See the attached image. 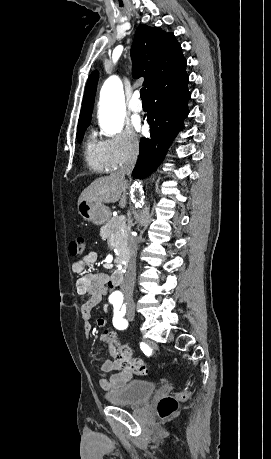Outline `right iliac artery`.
Segmentation results:
<instances>
[{
	"label": "right iliac artery",
	"mask_w": 271,
	"mask_h": 459,
	"mask_svg": "<svg viewBox=\"0 0 271 459\" xmlns=\"http://www.w3.org/2000/svg\"><path fill=\"white\" fill-rule=\"evenodd\" d=\"M109 301H110L111 303H113V304H118V306H119V304H120V301L114 300V299H112V298H109Z\"/></svg>",
	"instance_id": "82829eb1"
}]
</instances>
